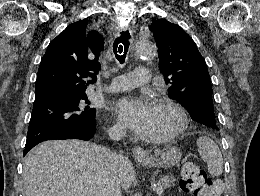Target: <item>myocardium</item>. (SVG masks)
Segmentation results:
<instances>
[{"label": "myocardium", "mask_w": 260, "mask_h": 196, "mask_svg": "<svg viewBox=\"0 0 260 196\" xmlns=\"http://www.w3.org/2000/svg\"><path fill=\"white\" fill-rule=\"evenodd\" d=\"M153 104L165 106L169 108L176 116L177 123L174 127L164 130L163 132L152 134L149 136V140L152 142L168 141L180 133H182L188 125V115L184 108L176 101L168 97H155L153 98Z\"/></svg>", "instance_id": "f54148a6"}]
</instances>
